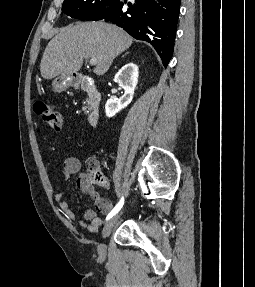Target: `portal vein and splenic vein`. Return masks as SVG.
Wrapping results in <instances>:
<instances>
[{
    "mask_svg": "<svg viewBox=\"0 0 255 287\" xmlns=\"http://www.w3.org/2000/svg\"><path fill=\"white\" fill-rule=\"evenodd\" d=\"M89 62L91 64V66H96L98 60H97V58H91V60H89Z\"/></svg>",
    "mask_w": 255,
    "mask_h": 287,
    "instance_id": "obj_1",
    "label": "portal vein and splenic vein"
}]
</instances>
